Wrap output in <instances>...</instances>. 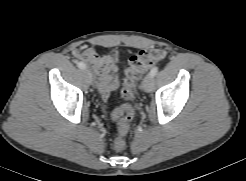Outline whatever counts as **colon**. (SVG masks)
<instances>
[{
	"label": "colon",
	"mask_w": 246,
	"mask_h": 181,
	"mask_svg": "<svg viewBox=\"0 0 246 181\" xmlns=\"http://www.w3.org/2000/svg\"><path fill=\"white\" fill-rule=\"evenodd\" d=\"M163 52L157 48H144L135 53L129 60L125 70V79L121 91V98L132 100L135 97V85L137 79L153 64L159 62ZM134 116V110L129 105H120L114 112L113 117L117 120L118 135L113 140V147L121 151L125 147L124 136L129 130L130 123Z\"/></svg>",
	"instance_id": "obj_1"
}]
</instances>
